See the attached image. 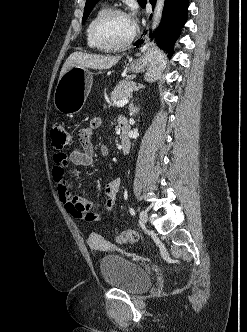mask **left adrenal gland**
I'll use <instances>...</instances> for the list:
<instances>
[{"label": "left adrenal gland", "mask_w": 247, "mask_h": 332, "mask_svg": "<svg viewBox=\"0 0 247 332\" xmlns=\"http://www.w3.org/2000/svg\"><path fill=\"white\" fill-rule=\"evenodd\" d=\"M129 110H130V115L135 116L139 111V107H136V106H134L133 103H131L130 107H129Z\"/></svg>", "instance_id": "obj_1"}]
</instances>
